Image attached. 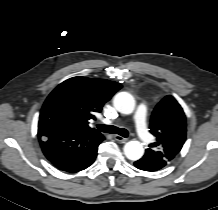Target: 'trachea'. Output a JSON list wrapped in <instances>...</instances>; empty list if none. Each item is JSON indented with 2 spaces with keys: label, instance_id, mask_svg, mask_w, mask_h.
Masks as SVG:
<instances>
[{
  "label": "trachea",
  "instance_id": "3493384b",
  "mask_svg": "<svg viewBox=\"0 0 218 210\" xmlns=\"http://www.w3.org/2000/svg\"><path fill=\"white\" fill-rule=\"evenodd\" d=\"M97 128L99 131L104 132V133H110V134H119L122 137H128V131L124 128H118L115 126H107V125H102L98 124Z\"/></svg>",
  "mask_w": 218,
  "mask_h": 210
}]
</instances>
